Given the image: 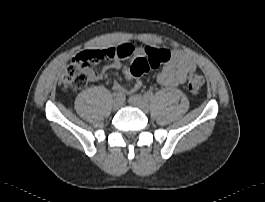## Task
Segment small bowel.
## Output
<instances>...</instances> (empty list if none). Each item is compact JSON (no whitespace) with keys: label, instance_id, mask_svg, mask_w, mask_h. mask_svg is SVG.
<instances>
[{"label":"small bowel","instance_id":"obj_1","mask_svg":"<svg viewBox=\"0 0 265 202\" xmlns=\"http://www.w3.org/2000/svg\"><path fill=\"white\" fill-rule=\"evenodd\" d=\"M109 48L113 49L115 53L121 56H117L114 59H110V64L105 66L103 68V71L108 69H122L125 81L127 83H130L134 79L135 83L133 86V90H139L142 87L141 81L131 74V66L128 64H123V61L134 54L144 53V50L142 48L134 47L132 44L129 43L121 44L116 47L102 48L98 50L105 51ZM195 69L196 63L189 54L182 50H174L171 52L170 60L160 72L158 76V82L166 87L184 85L187 81V77L190 71ZM85 74L88 80L91 82L98 81L102 77V72L98 71L92 66L85 67ZM113 89L118 92L124 91L123 87L119 83H114Z\"/></svg>","mask_w":265,"mask_h":202}]
</instances>
